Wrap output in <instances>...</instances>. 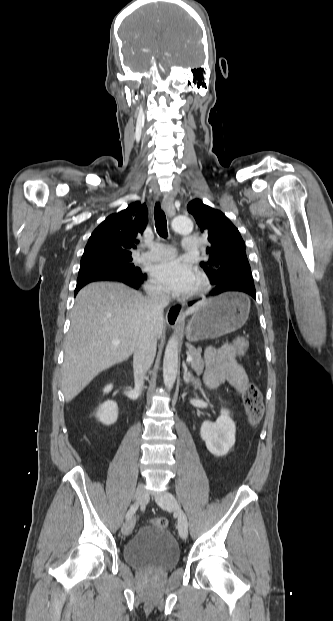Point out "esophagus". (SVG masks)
<instances>
[{"mask_svg":"<svg viewBox=\"0 0 333 621\" xmlns=\"http://www.w3.org/2000/svg\"><path fill=\"white\" fill-rule=\"evenodd\" d=\"M174 198L172 194H167L162 199V208L165 210L169 217L175 215V207L173 204ZM183 305L176 304L171 306L166 313V321L170 326L181 325L184 321Z\"/></svg>","mask_w":333,"mask_h":621,"instance_id":"obj_1","label":"esophagus"}]
</instances>
